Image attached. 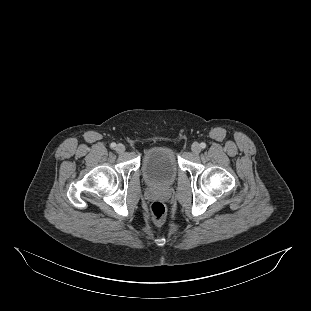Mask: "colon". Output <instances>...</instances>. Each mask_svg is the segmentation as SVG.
Listing matches in <instances>:
<instances>
[{"mask_svg": "<svg viewBox=\"0 0 311 311\" xmlns=\"http://www.w3.org/2000/svg\"><path fill=\"white\" fill-rule=\"evenodd\" d=\"M150 211L155 222L162 223L166 218V207L162 202H153Z\"/></svg>", "mask_w": 311, "mask_h": 311, "instance_id": "5ec220e1", "label": "colon"}]
</instances>
